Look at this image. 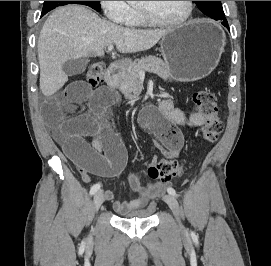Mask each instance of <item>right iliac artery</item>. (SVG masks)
I'll return each mask as SVG.
<instances>
[{
	"instance_id": "1",
	"label": "right iliac artery",
	"mask_w": 271,
	"mask_h": 266,
	"mask_svg": "<svg viewBox=\"0 0 271 266\" xmlns=\"http://www.w3.org/2000/svg\"><path fill=\"white\" fill-rule=\"evenodd\" d=\"M101 187L100 183L94 184L90 189V195H94Z\"/></svg>"
}]
</instances>
